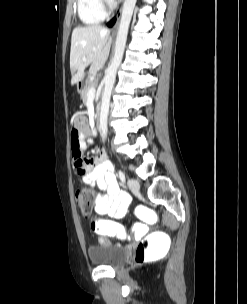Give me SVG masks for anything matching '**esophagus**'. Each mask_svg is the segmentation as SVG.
Returning a JSON list of instances; mask_svg holds the SVG:
<instances>
[{
	"label": "esophagus",
	"instance_id": "obj_1",
	"mask_svg": "<svg viewBox=\"0 0 247 304\" xmlns=\"http://www.w3.org/2000/svg\"><path fill=\"white\" fill-rule=\"evenodd\" d=\"M120 15H121V9L119 10V12L117 13L116 15V23L113 25L112 27V34L113 35H116L117 33V29H118V19L120 18Z\"/></svg>",
	"mask_w": 247,
	"mask_h": 304
}]
</instances>
